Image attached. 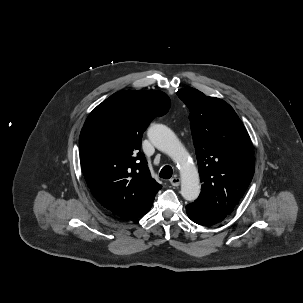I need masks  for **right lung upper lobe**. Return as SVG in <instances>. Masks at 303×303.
I'll return each mask as SVG.
<instances>
[{
  "mask_svg": "<svg viewBox=\"0 0 303 303\" xmlns=\"http://www.w3.org/2000/svg\"><path fill=\"white\" fill-rule=\"evenodd\" d=\"M170 107L156 90L111 95L88 116L80 133V162L96 200L112 215L132 220L146 214L161 189L140 152L143 132Z\"/></svg>",
  "mask_w": 303,
  "mask_h": 303,
  "instance_id": "cb5924a9",
  "label": "right lung upper lobe"
}]
</instances>
